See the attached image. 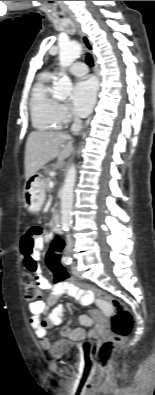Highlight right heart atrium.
Listing matches in <instances>:
<instances>
[{
    "mask_svg": "<svg viewBox=\"0 0 155 395\" xmlns=\"http://www.w3.org/2000/svg\"><path fill=\"white\" fill-rule=\"evenodd\" d=\"M58 116L62 124H66L73 118L71 111L64 104H59Z\"/></svg>",
    "mask_w": 155,
    "mask_h": 395,
    "instance_id": "right-heart-atrium-1",
    "label": "right heart atrium"
}]
</instances>
